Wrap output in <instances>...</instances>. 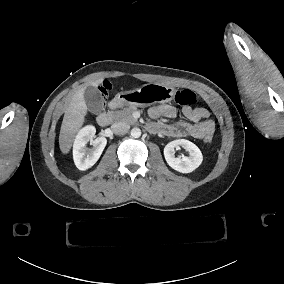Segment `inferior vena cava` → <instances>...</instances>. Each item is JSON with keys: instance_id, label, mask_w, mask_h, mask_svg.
I'll return each instance as SVG.
<instances>
[{"instance_id": "obj_1", "label": "inferior vena cava", "mask_w": 284, "mask_h": 284, "mask_svg": "<svg viewBox=\"0 0 284 284\" xmlns=\"http://www.w3.org/2000/svg\"><path fill=\"white\" fill-rule=\"evenodd\" d=\"M130 129V126L125 122H117L111 125V130L115 134H125Z\"/></svg>"}]
</instances>
